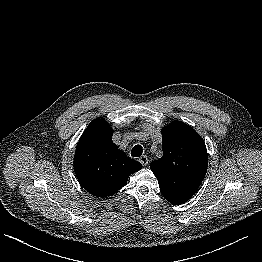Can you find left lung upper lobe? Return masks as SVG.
Listing matches in <instances>:
<instances>
[{"label": "left lung upper lobe", "mask_w": 262, "mask_h": 262, "mask_svg": "<svg viewBox=\"0 0 262 262\" xmlns=\"http://www.w3.org/2000/svg\"><path fill=\"white\" fill-rule=\"evenodd\" d=\"M163 156L150 164L163 197L172 204L188 201L208 165L205 143L189 125L174 121L162 129Z\"/></svg>", "instance_id": "1"}]
</instances>
